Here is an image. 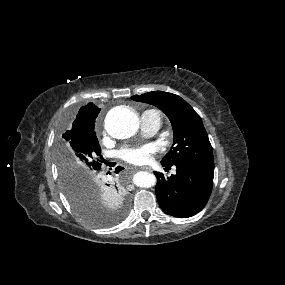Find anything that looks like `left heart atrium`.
<instances>
[{"mask_svg": "<svg viewBox=\"0 0 285 285\" xmlns=\"http://www.w3.org/2000/svg\"><path fill=\"white\" fill-rule=\"evenodd\" d=\"M155 152L152 144L138 146H124L118 151L119 157L134 165H143L150 161L151 155Z\"/></svg>", "mask_w": 285, "mask_h": 285, "instance_id": "39dd6f15", "label": "left heart atrium"}]
</instances>
